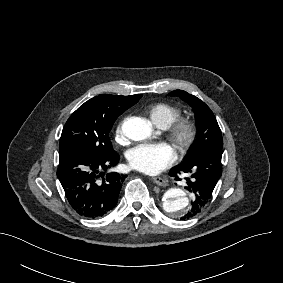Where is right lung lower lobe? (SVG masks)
<instances>
[{
    "label": "right lung lower lobe",
    "instance_id": "right-lung-lower-lobe-1",
    "mask_svg": "<svg viewBox=\"0 0 283 283\" xmlns=\"http://www.w3.org/2000/svg\"><path fill=\"white\" fill-rule=\"evenodd\" d=\"M118 162L115 151L106 156L96 155L84 147L59 152L57 177L69 204L79 215L100 218L116 206L125 176L102 171Z\"/></svg>",
    "mask_w": 283,
    "mask_h": 283
}]
</instances>
